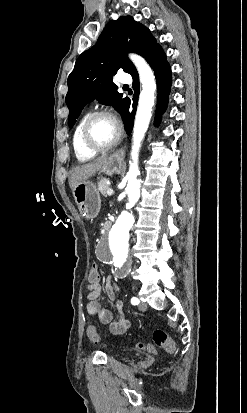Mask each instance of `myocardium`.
Instances as JSON below:
<instances>
[{"label": "myocardium", "instance_id": "f54148a6", "mask_svg": "<svg viewBox=\"0 0 247 413\" xmlns=\"http://www.w3.org/2000/svg\"><path fill=\"white\" fill-rule=\"evenodd\" d=\"M108 113L104 110H98L95 111L94 113H92L85 121V123L83 124V127L81 129V133H80V141L81 144L83 145V147L88 150V151H93V152H106L109 151L110 149L114 148L115 146H117L119 144V142L121 141L122 138V131L121 129L118 130L117 135L115 136V138L106 143V144H96L93 143L92 141H90L89 137H88V132L90 129V126L92 125V123L97 120L98 118L101 117H107Z\"/></svg>", "mask_w": 247, "mask_h": 413}]
</instances>
